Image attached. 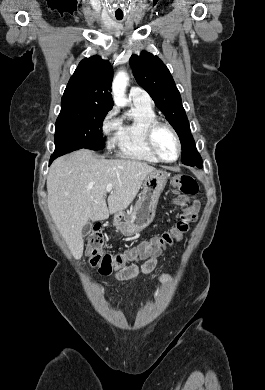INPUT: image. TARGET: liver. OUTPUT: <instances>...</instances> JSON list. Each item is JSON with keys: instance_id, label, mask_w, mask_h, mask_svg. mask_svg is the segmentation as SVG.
I'll use <instances>...</instances> for the list:
<instances>
[{"instance_id": "6515ba94", "label": "liver", "mask_w": 265, "mask_h": 390, "mask_svg": "<svg viewBox=\"0 0 265 390\" xmlns=\"http://www.w3.org/2000/svg\"><path fill=\"white\" fill-rule=\"evenodd\" d=\"M156 169L135 160L99 159L82 149L55 160L47 176V204L52 219L74 258H81L82 229L89 221L105 220L126 209L146 176ZM113 189L106 203V187Z\"/></svg>"}]
</instances>
